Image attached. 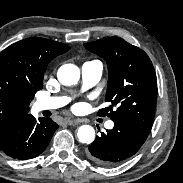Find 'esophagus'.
Returning a JSON list of instances; mask_svg holds the SVG:
<instances>
[{"instance_id": "esophagus-1", "label": "esophagus", "mask_w": 183, "mask_h": 183, "mask_svg": "<svg viewBox=\"0 0 183 183\" xmlns=\"http://www.w3.org/2000/svg\"><path fill=\"white\" fill-rule=\"evenodd\" d=\"M65 122L69 126H75V125H78L80 122H83V121L82 120H77V119H68Z\"/></svg>"}]
</instances>
